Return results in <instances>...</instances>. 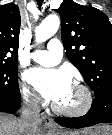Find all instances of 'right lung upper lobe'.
<instances>
[{"label": "right lung upper lobe", "instance_id": "obj_1", "mask_svg": "<svg viewBox=\"0 0 112 135\" xmlns=\"http://www.w3.org/2000/svg\"><path fill=\"white\" fill-rule=\"evenodd\" d=\"M20 23L17 5L0 6V62H17Z\"/></svg>", "mask_w": 112, "mask_h": 135}]
</instances>
